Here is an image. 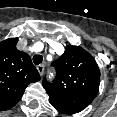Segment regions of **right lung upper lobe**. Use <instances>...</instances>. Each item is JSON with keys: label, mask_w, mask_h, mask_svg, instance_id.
<instances>
[{"label": "right lung upper lobe", "mask_w": 117, "mask_h": 117, "mask_svg": "<svg viewBox=\"0 0 117 117\" xmlns=\"http://www.w3.org/2000/svg\"><path fill=\"white\" fill-rule=\"evenodd\" d=\"M17 42L18 38L0 42V111L15 106L26 87L40 80L29 55L17 50Z\"/></svg>", "instance_id": "right-lung-upper-lobe-1"}]
</instances>
